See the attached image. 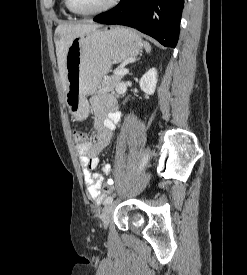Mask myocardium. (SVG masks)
<instances>
[{
  "label": "myocardium",
  "mask_w": 247,
  "mask_h": 275,
  "mask_svg": "<svg viewBox=\"0 0 247 275\" xmlns=\"http://www.w3.org/2000/svg\"><path fill=\"white\" fill-rule=\"evenodd\" d=\"M120 0H109L105 5L95 9V10H92V11H77L75 10L74 8L71 7L70 3H69V0H64V3L67 7V9L72 12L73 14H76V15H79V16H92V15H97V14H101V13H104L106 11H109L111 10L112 8H114L118 2Z\"/></svg>",
  "instance_id": "obj_1"
}]
</instances>
